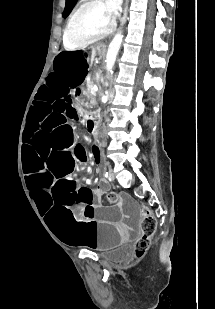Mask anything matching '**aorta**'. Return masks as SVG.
I'll return each instance as SVG.
<instances>
[{
    "label": "aorta",
    "instance_id": "762f6f07",
    "mask_svg": "<svg viewBox=\"0 0 215 309\" xmlns=\"http://www.w3.org/2000/svg\"><path fill=\"white\" fill-rule=\"evenodd\" d=\"M122 40H123L122 32H117V34H115L112 42H110V44L108 46V50H107V54H106V68H107L108 72H111V70L114 66V62L116 60L117 52H118V50L121 46Z\"/></svg>",
    "mask_w": 215,
    "mask_h": 309
}]
</instances>
